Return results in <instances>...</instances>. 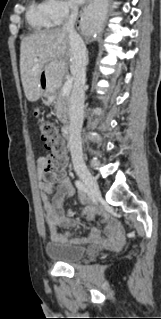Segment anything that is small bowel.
<instances>
[{"mask_svg":"<svg viewBox=\"0 0 161 319\" xmlns=\"http://www.w3.org/2000/svg\"><path fill=\"white\" fill-rule=\"evenodd\" d=\"M45 163V157H40L37 160V164L40 169V188L43 191L41 202L45 213V220L51 231L52 238L63 242L77 244L88 241H99L101 239V235L100 231L96 228L91 229L89 237L87 238L80 236L79 233L58 234L55 231L58 226L68 227L72 225L71 220L63 215V204L67 198H72L74 196L75 190L67 178H61L58 181L57 187L53 183L46 181L42 173V168L45 166ZM49 196H54L53 202L50 201ZM81 201L83 203H88L89 199L86 195L82 194ZM82 212L86 215L87 221L90 222L97 217L104 216L105 208L102 205H97L96 207H86ZM104 222L107 237L112 241H117L121 231L119 222L112 217L105 218Z\"/></svg>","mask_w":161,"mask_h":319,"instance_id":"1","label":"small bowel"}]
</instances>
